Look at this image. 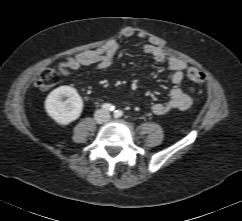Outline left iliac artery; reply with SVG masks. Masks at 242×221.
Here are the masks:
<instances>
[{
    "label": "left iliac artery",
    "mask_w": 242,
    "mask_h": 221,
    "mask_svg": "<svg viewBox=\"0 0 242 221\" xmlns=\"http://www.w3.org/2000/svg\"><path fill=\"white\" fill-rule=\"evenodd\" d=\"M122 115H123V112L120 111V110H116V111L114 112V117H115V118H119V117H121Z\"/></svg>",
    "instance_id": "left-iliac-artery-1"
}]
</instances>
